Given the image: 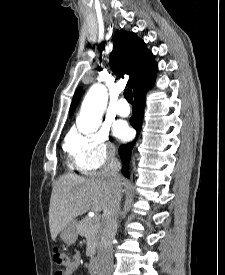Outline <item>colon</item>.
Here are the masks:
<instances>
[{
  "label": "colon",
  "instance_id": "1",
  "mask_svg": "<svg viewBox=\"0 0 225 275\" xmlns=\"http://www.w3.org/2000/svg\"><path fill=\"white\" fill-rule=\"evenodd\" d=\"M72 258V255L66 250L56 248L53 251V261L57 265L67 266L72 261Z\"/></svg>",
  "mask_w": 225,
  "mask_h": 275
}]
</instances>
